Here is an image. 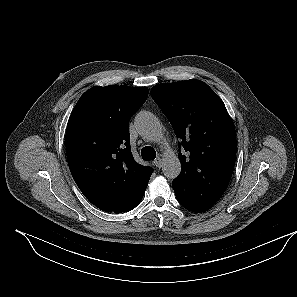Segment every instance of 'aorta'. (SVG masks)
Here are the masks:
<instances>
[{"label": "aorta", "instance_id": "aorta-1", "mask_svg": "<svg viewBox=\"0 0 297 297\" xmlns=\"http://www.w3.org/2000/svg\"><path fill=\"white\" fill-rule=\"evenodd\" d=\"M135 126L139 134L148 141H158L162 135L158 118L148 111H141L136 115ZM162 171L168 179H175L180 174L181 163L173 152L164 154Z\"/></svg>", "mask_w": 297, "mask_h": 297}]
</instances>
